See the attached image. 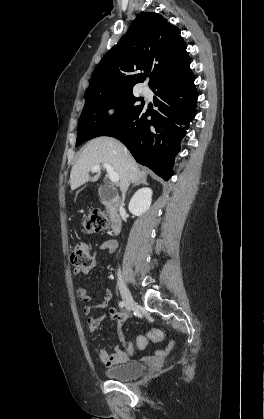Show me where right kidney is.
<instances>
[{"label": "right kidney", "mask_w": 264, "mask_h": 419, "mask_svg": "<svg viewBox=\"0 0 264 419\" xmlns=\"http://www.w3.org/2000/svg\"><path fill=\"white\" fill-rule=\"evenodd\" d=\"M152 190L148 187L139 189L129 202V211L135 216H142L151 205Z\"/></svg>", "instance_id": "obj_1"}]
</instances>
